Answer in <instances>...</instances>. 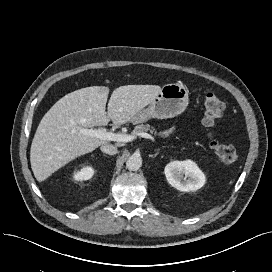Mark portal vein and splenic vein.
<instances>
[{
	"instance_id": "portal-vein-and-splenic-vein-1",
	"label": "portal vein and splenic vein",
	"mask_w": 272,
	"mask_h": 272,
	"mask_svg": "<svg viewBox=\"0 0 272 272\" xmlns=\"http://www.w3.org/2000/svg\"><path fill=\"white\" fill-rule=\"evenodd\" d=\"M81 133L87 136L96 137L101 140L105 141H118V142H131L136 138L135 134H123V133H112L107 132L105 129H81ZM140 137L150 139L151 141L155 142V139L152 135L142 132L137 134Z\"/></svg>"
}]
</instances>
